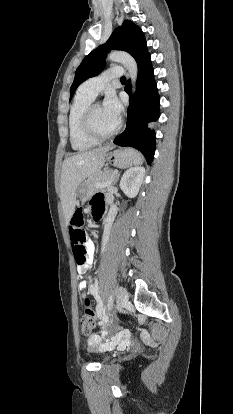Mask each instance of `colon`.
<instances>
[{"label": "colon", "instance_id": "obj_1", "mask_svg": "<svg viewBox=\"0 0 233 414\" xmlns=\"http://www.w3.org/2000/svg\"><path fill=\"white\" fill-rule=\"evenodd\" d=\"M84 223L83 214L77 210L70 222V238L73 254L77 264H84L87 259V235L82 226ZM84 314L81 319L82 331L84 334H90L96 327V315L93 311L91 301L88 297L83 299Z\"/></svg>", "mask_w": 233, "mask_h": 414}]
</instances>
